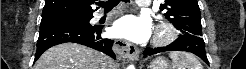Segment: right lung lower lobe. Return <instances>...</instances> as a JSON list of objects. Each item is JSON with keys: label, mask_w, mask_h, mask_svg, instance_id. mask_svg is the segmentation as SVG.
I'll return each mask as SVG.
<instances>
[{"label": "right lung lower lobe", "mask_w": 246, "mask_h": 69, "mask_svg": "<svg viewBox=\"0 0 246 69\" xmlns=\"http://www.w3.org/2000/svg\"><path fill=\"white\" fill-rule=\"evenodd\" d=\"M101 29L102 26L83 22L56 21L41 23L35 60L48 48L65 42L86 45L115 59L111 48L113 40L102 38L100 35Z\"/></svg>", "instance_id": "1"}]
</instances>
